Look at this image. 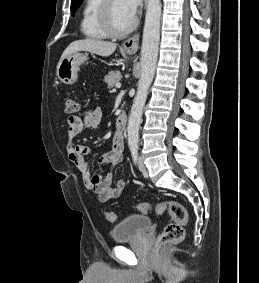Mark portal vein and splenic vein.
<instances>
[{"label":"portal vein and splenic vein","mask_w":259,"mask_h":283,"mask_svg":"<svg viewBox=\"0 0 259 283\" xmlns=\"http://www.w3.org/2000/svg\"><path fill=\"white\" fill-rule=\"evenodd\" d=\"M116 87H117V88H120V87H121V84H120V83H117V84H116Z\"/></svg>","instance_id":"obj_1"}]
</instances>
